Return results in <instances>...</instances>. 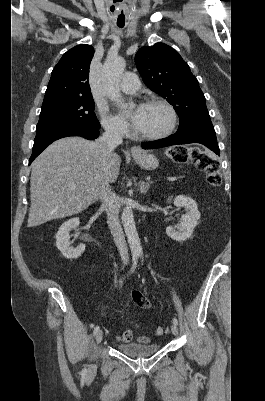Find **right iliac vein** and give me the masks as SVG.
Returning a JSON list of instances; mask_svg holds the SVG:
<instances>
[{
  "mask_svg": "<svg viewBox=\"0 0 265 401\" xmlns=\"http://www.w3.org/2000/svg\"><path fill=\"white\" fill-rule=\"evenodd\" d=\"M102 338H103V333H102V331H98V332L96 333V336H95L96 343H97V344H100L101 341H102ZM95 368H96V364H95V363H92V364L89 366V368H88V373H91L92 371H94Z\"/></svg>",
  "mask_w": 265,
  "mask_h": 401,
  "instance_id": "obj_1",
  "label": "right iliac vein"
}]
</instances>
